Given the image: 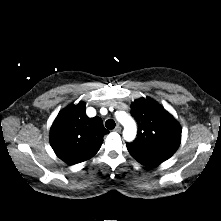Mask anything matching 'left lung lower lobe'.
<instances>
[{
  "instance_id": "left-lung-lower-lobe-1",
  "label": "left lung lower lobe",
  "mask_w": 221,
  "mask_h": 221,
  "mask_svg": "<svg viewBox=\"0 0 221 221\" xmlns=\"http://www.w3.org/2000/svg\"><path fill=\"white\" fill-rule=\"evenodd\" d=\"M161 162H152L149 166H157L159 165Z\"/></svg>"
}]
</instances>
